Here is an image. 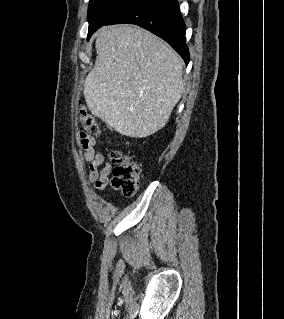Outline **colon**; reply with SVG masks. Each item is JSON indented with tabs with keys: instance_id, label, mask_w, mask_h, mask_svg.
I'll use <instances>...</instances> for the list:
<instances>
[{
	"instance_id": "1",
	"label": "colon",
	"mask_w": 284,
	"mask_h": 319,
	"mask_svg": "<svg viewBox=\"0 0 284 319\" xmlns=\"http://www.w3.org/2000/svg\"><path fill=\"white\" fill-rule=\"evenodd\" d=\"M79 120L86 132L96 136L101 134L100 125L91 114L81 111ZM109 157L114 166L111 180L113 188L126 197H133L140 186L139 166L134 162L129 152L114 149L111 150Z\"/></svg>"
}]
</instances>
